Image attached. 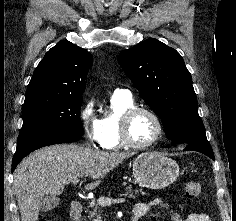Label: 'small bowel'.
<instances>
[{
  "instance_id": "small-bowel-1",
  "label": "small bowel",
  "mask_w": 236,
  "mask_h": 221,
  "mask_svg": "<svg viewBox=\"0 0 236 221\" xmlns=\"http://www.w3.org/2000/svg\"><path fill=\"white\" fill-rule=\"evenodd\" d=\"M154 209L167 210L170 213L171 221H211L207 214L196 212L190 213L183 218L176 210L171 209L168 203L160 199L136 203L133 207V217L140 219Z\"/></svg>"
}]
</instances>
